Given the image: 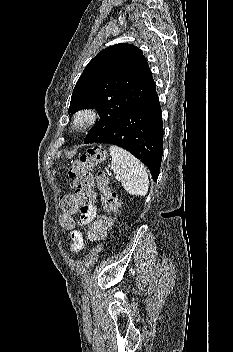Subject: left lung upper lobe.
Listing matches in <instances>:
<instances>
[{"label":"left lung upper lobe","instance_id":"1","mask_svg":"<svg viewBox=\"0 0 233 352\" xmlns=\"http://www.w3.org/2000/svg\"><path fill=\"white\" fill-rule=\"evenodd\" d=\"M155 89L142 51L132 44H116L100 51L88 63L73 90L68 113L83 108L99 112L100 121L84 140L90 143Z\"/></svg>","mask_w":233,"mask_h":352}]
</instances>
